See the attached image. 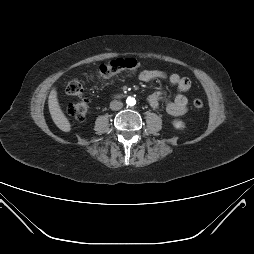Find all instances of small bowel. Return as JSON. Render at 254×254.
<instances>
[{
    "label": "small bowel",
    "mask_w": 254,
    "mask_h": 254,
    "mask_svg": "<svg viewBox=\"0 0 254 254\" xmlns=\"http://www.w3.org/2000/svg\"><path fill=\"white\" fill-rule=\"evenodd\" d=\"M139 79L142 82H150L155 79L168 80L172 85L176 86L180 92H186L191 88V81L187 77L178 74H167L165 71L153 69L144 70L140 73ZM165 98V93L161 91L154 92L148 97L149 105L156 109L160 102ZM188 100L185 95L178 94L173 100L166 103V110L169 114L180 116L188 110Z\"/></svg>",
    "instance_id": "1"
}]
</instances>
